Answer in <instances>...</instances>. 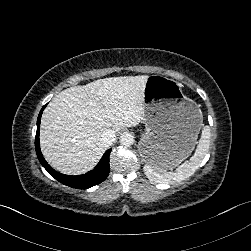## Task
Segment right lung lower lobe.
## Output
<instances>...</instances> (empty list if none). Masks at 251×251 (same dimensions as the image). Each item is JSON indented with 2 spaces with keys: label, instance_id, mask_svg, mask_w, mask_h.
I'll return each instance as SVG.
<instances>
[{
  "label": "right lung lower lobe",
  "instance_id": "right-lung-lower-lobe-1",
  "mask_svg": "<svg viewBox=\"0 0 251 251\" xmlns=\"http://www.w3.org/2000/svg\"><path fill=\"white\" fill-rule=\"evenodd\" d=\"M47 105V104H46ZM46 105L41 109L38 119H37V133L35 137V150L37 157L42 164V166L51 174L57 181L60 183L67 185L69 187L77 188V189H87L92 186H95L97 184H100L103 182L110 170L109 166V155L111 152V149L107 150L98 165L90 172L84 174V175H78V176H69L64 175L59 172H56L44 159L39 145V128H40V120H41V114L46 107Z\"/></svg>",
  "mask_w": 251,
  "mask_h": 251
}]
</instances>
